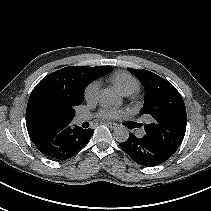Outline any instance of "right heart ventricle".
Segmentation results:
<instances>
[{
	"instance_id": "1",
	"label": "right heart ventricle",
	"mask_w": 211,
	"mask_h": 211,
	"mask_svg": "<svg viewBox=\"0 0 211 211\" xmlns=\"http://www.w3.org/2000/svg\"><path fill=\"white\" fill-rule=\"evenodd\" d=\"M111 82L124 95H129L139 89V81L127 72H118L111 77Z\"/></svg>"
}]
</instances>
